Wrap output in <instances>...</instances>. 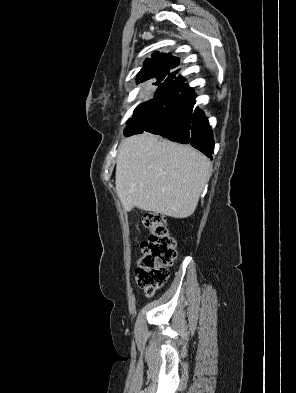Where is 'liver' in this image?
<instances>
[{"mask_svg": "<svg viewBox=\"0 0 296 393\" xmlns=\"http://www.w3.org/2000/svg\"><path fill=\"white\" fill-rule=\"evenodd\" d=\"M118 151L116 191L125 210L173 218L194 213L211 174L206 156L150 133L123 140Z\"/></svg>", "mask_w": 296, "mask_h": 393, "instance_id": "6515ba94", "label": "liver"}]
</instances>
